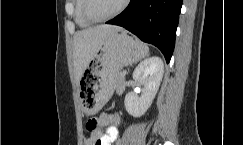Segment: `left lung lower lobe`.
I'll use <instances>...</instances> for the list:
<instances>
[{
  "label": "left lung lower lobe",
  "instance_id": "obj_1",
  "mask_svg": "<svg viewBox=\"0 0 243 145\" xmlns=\"http://www.w3.org/2000/svg\"><path fill=\"white\" fill-rule=\"evenodd\" d=\"M181 6L182 0H131L121 14L107 23L122 26L155 45L169 63Z\"/></svg>",
  "mask_w": 243,
  "mask_h": 145
}]
</instances>
